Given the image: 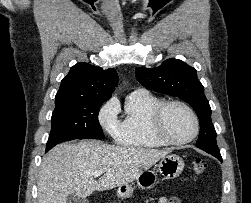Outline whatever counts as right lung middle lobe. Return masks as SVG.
<instances>
[{"label":"right lung middle lobe","instance_id":"obj_1","mask_svg":"<svg viewBox=\"0 0 251 203\" xmlns=\"http://www.w3.org/2000/svg\"><path fill=\"white\" fill-rule=\"evenodd\" d=\"M104 101H75L56 106L46 152L58 143L74 139H102L98 112Z\"/></svg>","mask_w":251,"mask_h":203}]
</instances>
